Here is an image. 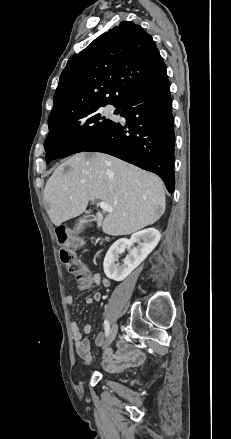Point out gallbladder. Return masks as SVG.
Segmentation results:
<instances>
[{"label": "gallbladder", "mask_w": 231, "mask_h": 439, "mask_svg": "<svg viewBox=\"0 0 231 439\" xmlns=\"http://www.w3.org/2000/svg\"><path fill=\"white\" fill-rule=\"evenodd\" d=\"M91 217H92V216H83V217H81V218L79 219L78 223L76 224L75 230H76L77 232H80L81 229L83 228V225H84L86 222L93 220V219H91Z\"/></svg>", "instance_id": "bac80fb5"}]
</instances>
